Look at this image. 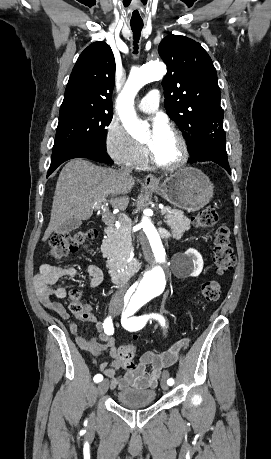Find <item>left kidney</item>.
Masks as SVG:
<instances>
[{
    "label": "left kidney",
    "mask_w": 271,
    "mask_h": 459,
    "mask_svg": "<svg viewBox=\"0 0 271 459\" xmlns=\"http://www.w3.org/2000/svg\"><path fill=\"white\" fill-rule=\"evenodd\" d=\"M185 255L188 261V273L196 277L203 269V257L201 253H199L197 249H193V247L187 249Z\"/></svg>",
    "instance_id": "obj_1"
}]
</instances>
